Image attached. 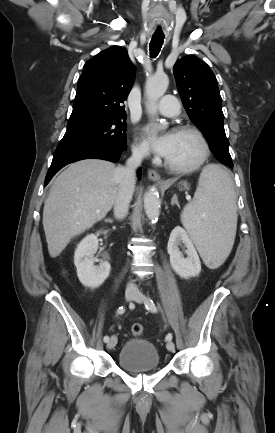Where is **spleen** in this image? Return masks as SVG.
I'll return each instance as SVG.
<instances>
[{"instance_id":"1","label":"spleen","mask_w":275,"mask_h":433,"mask_svg":"<svg viewBox=\"0 0 275 433\" xmlns=\"http://www.w3.org/2000/svg\"><path fill=\"white\" fill-rule=\"evenodd\" d=\"M181 222L205 264L212 269L221 266L234 244L237 208L232 178L220 165L204 167Z\"/></svg>"}]
</instances>
